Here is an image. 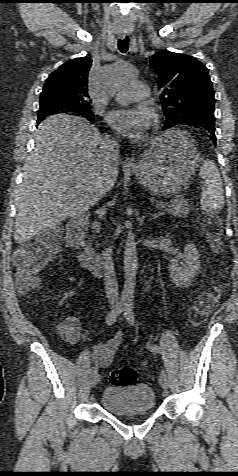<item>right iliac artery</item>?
<instances>
[{
    "label": "right iliac artery",
    "mask_w": 238,
    "mask_h": 476,
    "mask_svg": "<svg viewBox=\"0 0 238 476\" xmlns=\"http://www.w3.org/2000/svg\"><path fill=\"white\" fill-rule=\"evenodd\" d=\"M124 308H125L124 305L119 304V305L116 306V308H114L113 310H111V311L107 314V316H106V323H107V325H109V326L112 325V324L116 321L117 317L124 311ZM97 370H98L97 367H92V368L90 369V372H91L92 374H93V373H97Z\"/></svg>",
    "instance_id": "82829eb1"
}]
</instances>
